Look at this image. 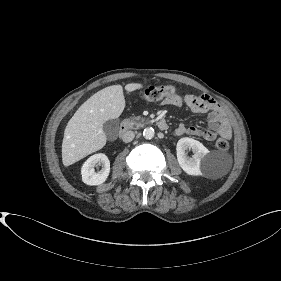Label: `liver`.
<instances>
[{
    "instance_id": "obj_1",
    "label": "liver",
    "mask_w": 281,
    "mask_h": 281,
    "mask_svg": "<svg viewBox=\"0 0 281 281\" xmlns=\"http://www.w3.org/2000/svg\"><path fill=\"white\" fill-rule=\"evenodd\" d=\"M142 84L130 83L128 92L140 89ZM125 108L121 85L106 87L86 100L69 120L62 142V162L69 166L89 154L102 149L107 141L103 124L117 119Z\"/></svg>"
}]
</instances>
